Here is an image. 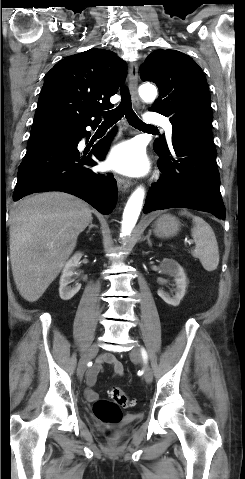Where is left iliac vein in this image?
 Instances as JSON below:
<instances>
[{"instance_id":"1","label":"left iliac vein","mask_w":245,"mask_h":479,"mask_svg":"<svg viewBox=\"0 0 245 479\" xmlns=\"http://www.w3.org/2000/svg\"><path fill=\"white\" fill-rule=\"evenodd\" d=\"M130 358L133 361L142 364L143 371H144V374H143L144 379L147 383H150L152 381V378H153L152 370H151L150 366L143 360L142 354L137 347H135L131 350Z\"/></svg>"}]
</instances>
